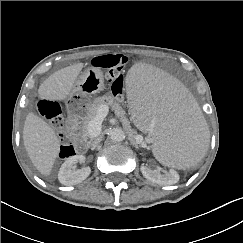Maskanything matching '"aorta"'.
Returning a JSON list of instances; mask_svg holds the SVG:
<instances>
[{
    "label": "aorta",
    "mask_w": 243,
    "mask_h": 243,
    "mask_svg": "<svg viewBox=\"0 0 243 243\" xmlns=\"http://www.w3.org/2000/svg\"><path fill=\"white\" fill-rule=\"evenodd\" d=\"M109 137L113 141H123L125 139V132L121 128H113L109 131Z\"/></svg>",
    "instance_id": "obj_1"
}]
</instances>
